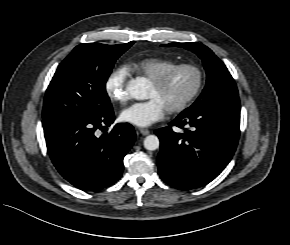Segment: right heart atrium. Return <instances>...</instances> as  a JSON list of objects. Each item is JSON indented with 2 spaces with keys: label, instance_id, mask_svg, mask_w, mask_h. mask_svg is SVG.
I'll return each instance as SVG.
<instances>
[{
  "label": "right heart atrium",
  "instance_id": "right-heart-atrium-1",
  "mask_svg": "<svg viewBox=\"0 0 290 245\" xmlns=\"http://www.w3.org/2000/svg\"><path fill=\"white\" fill-rule=\"evenodd\" d=\"M128 75L126 67H117L110 73L105 83L108 97L119 104H126L129 100L126 87Z\"/></svg>",
  "mask_w": 290,
  "mask_h": 245
}]
</instances>
